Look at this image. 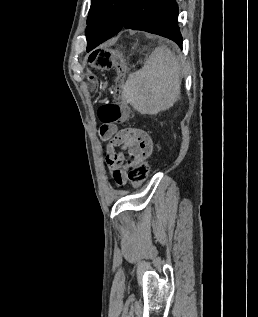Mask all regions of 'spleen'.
Segmentation results:
<instances>
[{
    "label": "spleen",
    "instance_id": "spleen-1",
    "mask_svg": "<svg viewBox=\"0 0 258 317\" xmlns=\"http://www.w3.org/2000/svg\"><path fill=\"white\" fill-rule=\"evenodd\" d=\"M181 68L177 56L164 44L146 58L144 66L129 74L123 96L141 114H157L178 100Z\"/></svg>",
    "mask_w": 258,
    "mask_h": 317
}]
</instances>
